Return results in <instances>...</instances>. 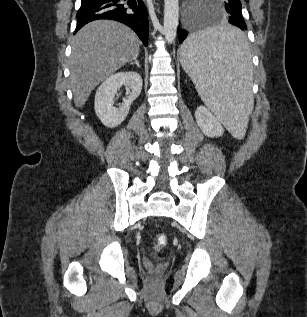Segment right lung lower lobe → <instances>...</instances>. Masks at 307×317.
Here are the masks:
<instances>
[{
  "instance_id": "1",
  "label": "right lung lower lobe",
  "mask_w": 307,
  "mask_h": 317,
  "mask_svg": "<svg viewBox=\"0 0 307 317\" xmlns=\"http://www.w3.org/2000/svg\"><path fill=\"white\" fill-rule=\"evenodd\" d=\"M119 0H81L77 12L75 33L85 24L97 19H111L133 29L145 46L148 43V16L141 0H128L129 7L118 4Z\"/></svg>"
}]
</instances>
